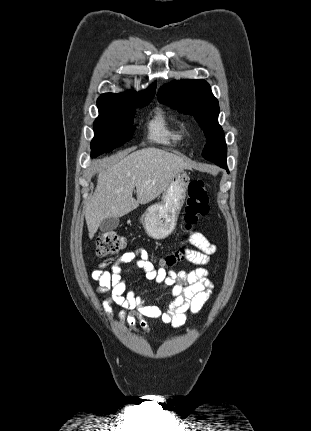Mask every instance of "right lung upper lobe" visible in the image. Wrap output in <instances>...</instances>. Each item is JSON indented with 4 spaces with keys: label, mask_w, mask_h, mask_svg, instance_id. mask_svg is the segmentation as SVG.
<instances>
[{
    "label": "right lung upper lobe",
    "mask_w": 311,
    "mask_h": 431,
    "mask_svg": "<svg viewBox=\"0 0 311 431\" xmlns=\"http://www.w3.org/2000/svg\"><path fill=\"white\" fill-rule=\"evenodd\" d=\"M155 88L156 84H153L149 87V89L142 91V92H135V91H127L125 93H105L102 94L100 97H107V98H149L154 96L155 94Z\"/></svg>",
    "instance_id": "1"
}]
</instances>
